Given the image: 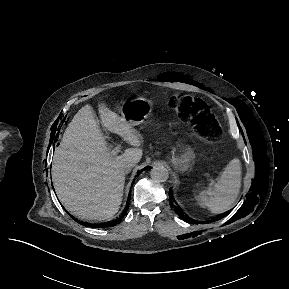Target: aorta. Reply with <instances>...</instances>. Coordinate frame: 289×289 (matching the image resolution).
<instances>
[{"instance_id":"obj_1","label":"aorta","mask_w":289,"mask_h":289,"mask_svg":"<svg viewBox=\"0 0 289 289\" xmlns=\"http://www.w3.org/2000/svg\"><path fill=\"white\" fill-rule=\"evenodd\" d=\"M150 176L156 182H165L169 177V172L164 166H154L150 171Z\"/></svg>"}]
</instances>
